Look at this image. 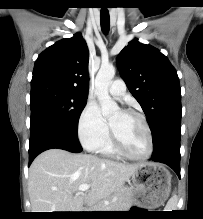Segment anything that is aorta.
<instances>
[{
  "instance_id": "obj_1",
  "label": "aorta",
  "mask_w": 203,
  "mask_h": 219,
  "mask_svg": "<svg viewBox=\"0 0 203 219\" xmlns=\"http://www.w3.org/2000/svg\"><path fill=\"white\" fill-rule=\"evenodd\" d=\"M114 76L115 68L112 65H102L95 78V94L104 117H110L119 111V106L112 100L108 91Z\"/></svg>"
}]
</instances>
